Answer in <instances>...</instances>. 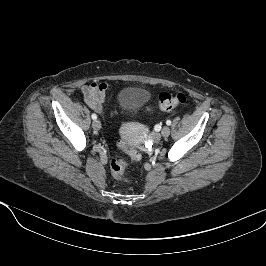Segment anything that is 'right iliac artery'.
I'll use <instances>...</instances> for the list:
<instances>
[{
	"instance_id": "right-iliac-artery-1",
	"label": "right iliac artery",
	"mask_w": 266,
	"mask_h": 266,
	"mask_svg": "<svg viewBox=\"0 0 266 266\" xmlns=\"http://www.w3.org/2000/svg\"><path fill=\"white\" fill-rule=\"evenodd\" d=\"M91 117H92V119H93V120H96V119H97V115H96V114H94V113L92 114V116H91Z\"/></svg>"
}]
</instances>
